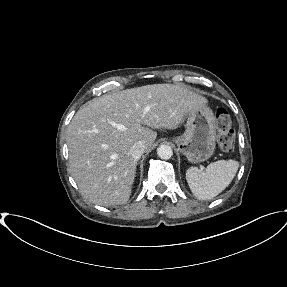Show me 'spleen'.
Instances as JSON below:
<instances>
[{"instance_id": "3e777b00", "label": "spleen", "mask_w": 287, "mask_h": 287, "mask_svg": "<svg viewBox=\"0 0 287 287\" xmlns=\"http://www.w3.org/2000/svg\"><path fill=\"white\" fill-rule=\"evenodd\" d=\"M238 167L235 160H218L210 163L204 171L190 167L186 171V180L197 199L210 200L229 186Z\"/></svg>"}]
</instances>
